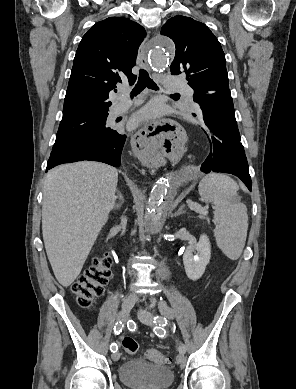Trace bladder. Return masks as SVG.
Returning <instances> with one entry per match:
<instances>
[{
  "label": "bladder",
  "instance_id": "bladder-1",
  "mask_svg": "<svg viewBox=\"0 0 296 389\" xmlns=\"http://www.w3.org/2000/svg\"><path fill=\"white\" fill-rule=\"evenodd\" d=\"M120 381L132 389H166L174 380L173 373L164 365L130 359L119 367Z\"/></svg>",
  "mask_w": 296,
  "mask_h": 389
}]
</instances>
